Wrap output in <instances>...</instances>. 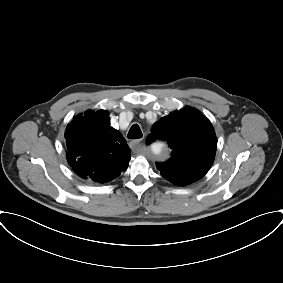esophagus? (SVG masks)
<instances>
[{
    "mask_svg": "<svg viewBox=\"0 0 283 283\" xmlns=\"http://www.w3.org/2000/svg\"><path fill=\"white\" fill-rule=\"evenodd\" d=\"M141 143H142V139L132 140L130 141L129 146L134 149L139 147Z\"/></svg>",
    "mask_w": 283,
    "mask_h": 283,
    "instance_id": "esophagus-1",
    "label": "esophagus"
}]
</instances>
